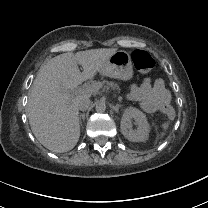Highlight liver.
Returning <instances> with one entry per match:
<instances>
[{
    "label": "liver",
    "mask_w": 208,
    "mask_h": 208,
    "mask_svg": "<svg viewBox=\"0 0 208 208\" xmlns=\"http://www.w3.org/2000/svg\"><path fill=\"white\" fill-rule=\"evenodd\" d=\"M117 51L96 48L67 52L44 64L33 81L26 114L37 140L54 153L72 150L80 138L77 100L90 94L78 92L77 85L93 79ZM84 69L82 74L78 68Z\"/></svg>",
    "instance_id": "6515ba94"
}]
</instances>
